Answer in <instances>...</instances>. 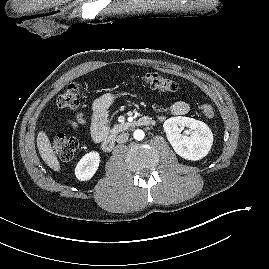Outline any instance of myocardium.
Here are the masks:
<instances>
[{"mask_svg": "<svg viewBox=\"0 0 269 269\" xmlns=\"http://www.w3.org/2000/svg\"><path fill=\"white\" fill-rule=\"evenodd\" d=\"M58 5H60V0H46L38 4L40 8L53 7Z\"/></svg>", "mask_w": 269, "mask_h": 269, "instance_id": "myocardium-1", "label": "myocardium"}]
</instances>
